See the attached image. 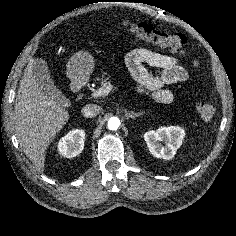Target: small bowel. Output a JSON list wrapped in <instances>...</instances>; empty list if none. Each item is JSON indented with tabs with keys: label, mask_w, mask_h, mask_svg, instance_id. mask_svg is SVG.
Returning a JSON list of instances; mask_svg holds the SVG:
<instances>
[{
	"label": "small bowel",
	"mask_w": 236,
	"mask_h": 236,
	"mask_svg": "<svg viewBox=\"0 0 236 236\" xmlns=\"http://www.w3.org/2000/svg\"><path fill=\"white\" fill-rule=\"evenodd\" d=\"M126 66L136 81V91L156 102L168 104L174 99V94L164 87L169 84L185 82L189 73L176 57L160 54L158 52L137 48L127 53ZM160 68L159 75L153 76L145 65ZM191 67L197 68L199 62L196 58L190 62Z\"/></svg>",
	"instance_id": "1"
}]
</instances>
